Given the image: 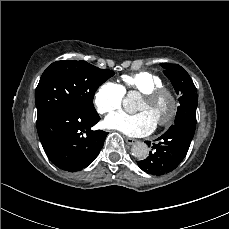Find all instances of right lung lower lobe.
<instances>
[{
	"label": "right lung lower lobe",
	"instance_id": "right-lung-lower-lobe-1",
	"mask_svg": "<svg viewBox=\"0 0 229 229\" xmlns=\"http://www.w3.org/2000/svg\"><path fill=\"white\" fill-rule=\"evenodd\" d=\"M100 117L73 108L52 114L37 127L44 151L57 167L69 172L86 168L99 154L107 133L91 130Z\"/></svg>",
	"mask_w": 229,
	"mask_h": 229
}]
</instances>
